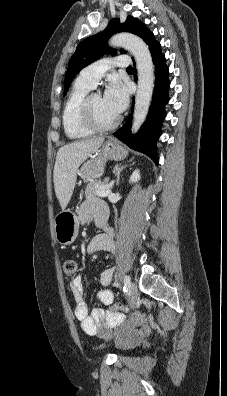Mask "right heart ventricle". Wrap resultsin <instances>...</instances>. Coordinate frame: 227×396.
I'll return each instance as SVG.
<instances>
[{
	"label": "right heart ventricle",
	"instance_id": "right-heart-ventricle-1",
	"mask_svg": "<svg viewBox=\"0 0 227 396\" xmlns=\"http://www.w3.org/2000/svg\"><path fill=\"white\" fill-rule=\"evenodd\" d=\"M92 89L90 85L77 79L65 101L62 112L64 132L70 139H83L91 136L93 131L83 122L81 104Z\"/></svg>",
	"mask_w": 227,
	"mask_h": 396
}]
</instances>
